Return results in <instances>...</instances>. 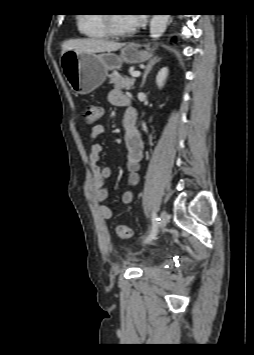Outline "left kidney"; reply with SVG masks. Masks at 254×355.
Instances as JSON below:
<instances>
[{"label":"left kidney","mask_w":254,"mask_h":355,"mask_svg":"<svg viewBox=\"0 0 254 355\" xmlns=\"http://www.w3.org/2000/svg\"><path fill=\"white\" fill-rule=\"evenodd\" d=\"M167 76H168V68L163 67L162 69H160L156 77V83L159 89H161L164 86Z\"/></svg>","instance_id":"1"}]
</instances>
